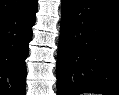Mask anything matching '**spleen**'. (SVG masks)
I'll return each instance as SVG.
<instances>
[{"label":"spleen","mask_w":119,"mask_h":95,"mask_svg":"<svg viewBox=\"0 0 119 95\" xmlns=\"http://www.w3.org/2000/svg\"><path fill=\"white\" fill-rule=\"evenodd\" d=\"M84 95H87V94H84ZM88 95H91V94H88ZM92 95H94V94H92Z\"/></svg>","instance_id":"1"}]
</instances>
